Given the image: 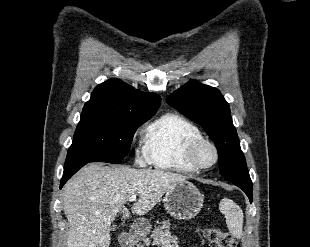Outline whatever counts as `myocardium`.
Masks as SVG:
<instances>
[{"instance_id":"1","label":"myocardium","mask_w":310,"mask_h":247,"mask_svg":"<svg viewBox=\"0 0 310 247\" xmlns=\"http://www.w3.org/2000/svg\"><path fill=\"white\" fill-rule=\"evenodd\" d=\"M203 145H208L214 152V160L211 164L202 165L198 163L196 159L197 151ZM185 158L188 164L196 171L207 170L216 165L219 159V152H218L216 145L211 140L204 138V137H198V138L191 140L188 143L186 147V151H185Z\"/></svg>"}]
</instances>
